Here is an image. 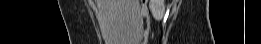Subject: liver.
<instances>
[{"mask_svg":"<svg viewBox=\"0 0 261 44\" xmlns=\"http://www.w3.org/2000/svg\"><path fill=\"white\" fill-rule=\"evenodd\" d=\"M104 9L106 39L111 44H138L142 38L143 19L139 0H98Z\"/></svg>","mask_w":261,"mask_h":44,"instance_id":"obj_1","label":"liver"}]
</instances>
